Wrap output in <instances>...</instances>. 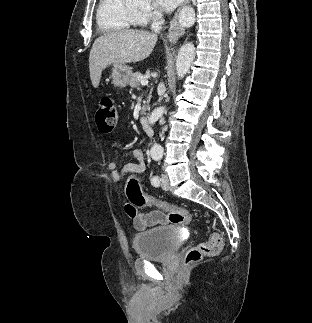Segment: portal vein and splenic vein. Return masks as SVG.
<instances>
[{"mask_svg": "<svg viewBox=\"0 0 312 323\" xmlns=\"http://www.w3.org/2000/svg\"><path fill=\"white\" fill-rule=\"evenodd\" d=\"M141 84H142V86H147L148 80H141Z\"/></svg>", "mask_w": 312, "mask_h": 323, "instance_id": "18ae733b", "label": "portal vein and splenic vein"}]
</instances>
